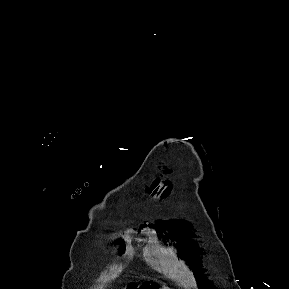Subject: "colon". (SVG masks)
Segmentation results:
<instances>
[{"mask_svg": "<svg viewBox=\"0 0 289 289\" xmlns=\"http://www.w3.org/2000/svg\"><path fill=\"white\" fill-rule=\"evenodd\" d=\"M130 289H136V287H130ZM140 289H158V287L153 283H144Z\"/></svg>", "mask_w": 289, "mask_h": 289, "instance_id": "5ec220e1", "label": "colon"}]
</instances>
